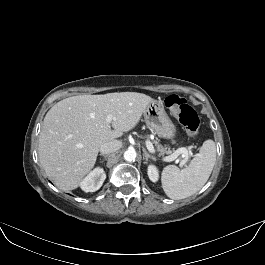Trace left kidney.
Wrapping results in <instances>:
<instances>
[{"mask_svg": "<svg viewBox=\"0 0 265 265\" xmlns=\"http://www.w3.org/2000/svg\"><path fill=\"white\" fill-rule=\"evenodd\" d=\"M148 176L152 182H157L159 179V171L155 165L148 166Z\"/></svg>", "mask_w": 265, "mask_h": 265, "instance_id": "left-kidney-1", "label": "left kidney"}]
</instances>
